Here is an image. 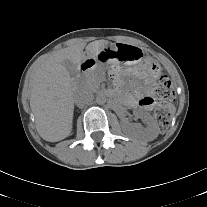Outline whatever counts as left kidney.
Returning <instances> with one entry per match:
<instances>
[{
    "label": "left kidney",
    "mask_w": 207,
    "mask_h": 207,
    "mask_svg": "<svg viewBox=\"0 0 207 207\" xmlns=\"http://www.w3.org/2000/svg\"><path fill=\"white\" fill-rule=\"evenodd\" d=\"M135 115L142 119L146 124V127L138 126L137 129H135L129 123L125 122L122 124L123 131L129 135H133L138 132L147 141H152L157 138L158 128L153 117L144 111H137Z\"/></svg>",
    "instance_id": "obj_1"
}]
</instances>
